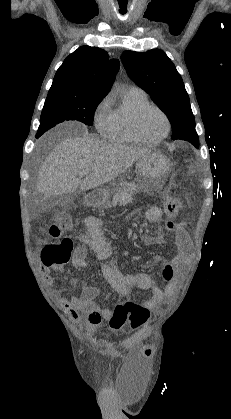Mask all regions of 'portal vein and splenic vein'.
Listing matches in <instances>:
<instances>
[{"label": "portal vein and splenic vein", "mask_w": 231, "mask_h": 419, "mask_svg": "<svg viewBox=\"0 0 231 419\" xmlns=\"http://www.w3.org/2000/svg\"><path fill=\"white\" fill-rule=\"evenodd\" d=\"M88 174H89L88 170H83L82 172L79 173V177L86 176Z\"/></svg>", "instance_id": "portal-vein-and-splenic-vein-1"}]
</instances>
